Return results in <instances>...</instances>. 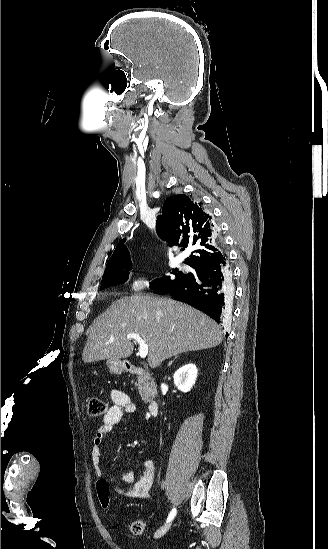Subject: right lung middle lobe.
<instances>
[{
    "mask_svg": "<svg viewBox=\"0 0 328 549\" xmlns=\"http://www.w3.org/2000/svg\"><path fill=\"white\" fill-rule=\"evenodd\" d=\"M130 269H131V261L129 259H126L125 261H121L117 264H114L109 269H106L102 277L101 290H103L104 288L112 284L125 282L129 275ZM171 273L174 274V276L166 275V276H163L162 278H157L154 281H152L150 283V288L153 289L155 292L159 293L163 290H166L170 287H173L177 284H180L186 281L192 276V273H183L176 269H174L173 272Z\"/></svg>",
    "mask_w": 328,
    "mask_h": 549,
    "instance_id": "dd1d6c3e",
    "label": "right lung middle lobe"
}]
</instances>
